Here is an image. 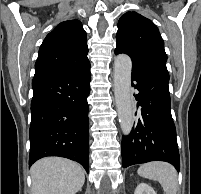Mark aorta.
<instances>
[{
  "label": "aorta",
  "instance_id": "762f6f07",
  "mask_svg": "<svg viewBox=\"0 0 201 194\" xmlns=\"http://www.w3.org/2000/svg\"><path fill=\"white\" fill-rule=\"evenodd\" d=\"M131 70V58L126 54L117 55L114 61V95L119 123L124 135H129L133 127Z\"/></svg>",
  "mask_w": 201,
  "mask_h": 194
}]
</instances>
